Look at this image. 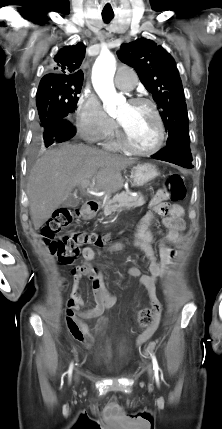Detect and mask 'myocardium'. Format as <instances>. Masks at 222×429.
Listing matches in <instances>:
<instances>
[{"mask_svg":"<svg viewBox=\"0 0 222 429\" xmlns=\"http://www.w3.org/2000/svg\"><path fill=\"white\" fill-rule=\"evenodd\" d=\"M129 103L131 104H139V105H145L147 106L150 111L152 112L156 124H157V129H158V137H157V142L156 144L149 148V149H139L137 147H135L128 139L127 134L125 129L123 128V126L121 125L120 122H118V138H119V142L121 143V145L129 152H131L132 154L135 155H139V156H150V155H154L156 154L158 151H160V149L162 148L164 141H165V137H166V130H165V125H164V121L162 119V116L160 114V112L158 111L155 103L153 101H151L148 98H144V97H135L130 99Z\"/></svg>","mask_w":222,"mask_h":429,"instance_id":"myocardium-1","label":"myocardium"}]
</instances>
